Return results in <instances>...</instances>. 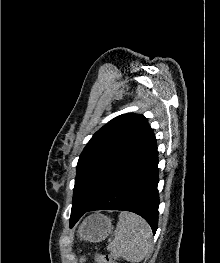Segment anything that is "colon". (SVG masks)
Returning <instances> with one entry per match:
<instances>
[{
    "instance_id": "obj_1",
    "label": "colon",
    "mask_w": 220,
    "mask_h": 263,
    "mask_svg": "<svg viewBox=\"0 0 220 263\" xmlns=\"http://www.w3.org/2000/svg\"><path fill=\"white\" fill-rule=\"evenodd\" d=\"M95 262L96 263H117L111 257L105 256V255H101V254L95 255Z\"/></svg>"
}]
</instances>
